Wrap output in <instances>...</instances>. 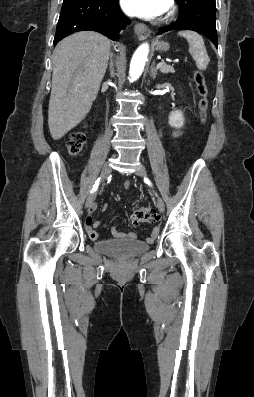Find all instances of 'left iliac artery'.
<instances>
[{
	"mask_svg": "<svg viewBox=\"0 0 254 397\" xmlns=\"http://www.w3.org/2000/svg\"><path fill=\"white\" fill-rule=\"evenodd\" d=\"M145 182H146V183H149L147 179H145Z\"/></svg>",
	"mask_w": 254,
	"mask_h": 397,
	"instance_id": "obj_1",
	"label": "left iliac artery"
}]
</instances>
